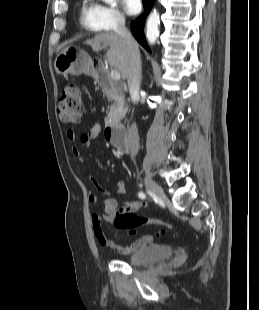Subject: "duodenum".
<instances>
[{"mask_svg":"<svg viewBox=\"0 0 259 310\" xmlns=\"http://www.w3.org/2000/svg\"><path fill=\"white\" fill-rule=\"evenodd\" d=\"M95 77L99 80L101 86L108 92L118 91V86L104 72L102 65L94 62L92 67ZM105 136L116 148L122 152H129L130 147L127 139L126 130L118 123H107L105 127Z\"/></svg>","mask_w":259,"mask_h":310,"instance_id":"duodenum-1","label":"duodenum"}]
</instances>
